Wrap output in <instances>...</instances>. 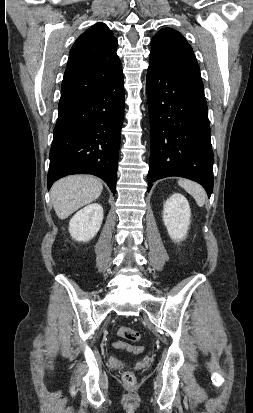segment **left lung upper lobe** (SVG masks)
<instances>
[{
    "label": "left lung upper lobe",
    "instance_id": "1",
    "mask_svg": "<svg viewBox=\"0 0 253 413\" xmlns=\"http://www.w3.org/2000/svg\"><path fill=\"white\" fill-rule=\"evenodd\" d=\"M175 75L203 88L199 65L191 46L181 33L163 28L151 40L150 56Z\"/></svg>",
    "mask_w": 253,
    "mask_h": 413
}]
</instances>
